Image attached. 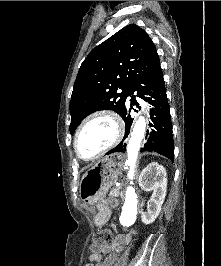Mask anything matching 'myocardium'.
Masks as SVG:
<instances>
[{"mask_svg":"<svg viewBox=\"0 0 221 266\" xmlns=\"http://www.w3.org/2000/svg\"><path fill=\"white\" fill-rule=\"evenodd\" d=\"M100 116H105L110 118L115 127H116V134L114 136V139L106 146L104 147L102 150H100L98 153H96L95 155L91 156V157H85L81 154L80 150H79V146H78V140L80 137V134L82 133L84 127L94 118L96 117H100ZM125 133V125L123 120L121 119V117L115 113L112 110H99V111H95L92 114H90L80 125V127L78 128L76 135H75V139H74V149L75 152L77 154V156L85 161H92L95 160L97 158H99L100 156H102L104 153H106L108 150H110L111 148H113L124 136Z\"/></svg>","mask_w":221,"mask_h":266,"instance_id":"obj_1","label":"myocardium"}]
</instances>
